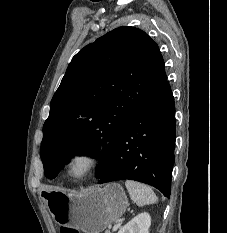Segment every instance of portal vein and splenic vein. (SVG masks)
<instances>
[{"instance_id": "18ae733b", "label": "portal vein and splenic vein", "mask_w": 227, "mask_h": 233, "mask_svg": "<svg viewBox=\"0 0 227 233\" xmlns=\"http://www.w3.org/2000/svg\"><path fill=\"white\" fill-rule=\"evenodd\" d=\"M125 218H122L117 221V223L113 226L112 231H116L118 228H120L124 222Z\"/></svg>"}]
</instances>
